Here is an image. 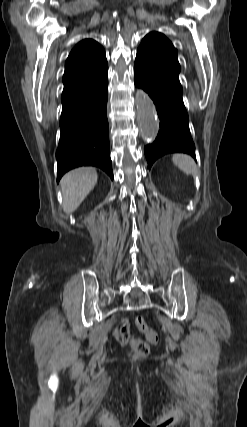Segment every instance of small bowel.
I'll return each mask as SVG.
<instances>
[{
	"label": "small bowel",
	"mask_w": 247,
	"mask_h": 427,
	"mask_svg": "<svg viewBox=\"0 0 247 427\" xmlns=\"http://www.w3.org/2000/svg\"><path fill=\"white\" fill-rule=\"evenodd\" d=\"M115 338L121 342H127L130 337V325L127 319H123L119 329L114 332Z\"/></svg>",
	"instance_id": "c3829d8e"
}]
</instances>
